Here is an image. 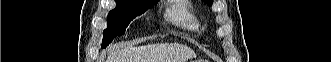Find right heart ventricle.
Listing matches in <instances>:
<instances>
[{
  "instance_id": "e07e8e85",
  "label": "right heart ventricle",
  "mask_w": 331,
  "mask_h": 62,
  "mask_svg": "<svg viewBox=\"0 0 331 62\" xmlns=\"http://www.w3.org/2000/svg\"><path fill=\"white\" fill-rule=\"evenodd\" d=\"M194 9V5L189 1H174L168 9V18L183 28L198 31L200 23L194 14Z\"/></svg>"
}]
</instances>
